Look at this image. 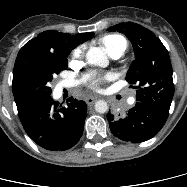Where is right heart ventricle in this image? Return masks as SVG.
Here are the masks:
<instances>
[{
	"instance_id": "obj_1",
	"label": "right heart ventricle",
	"mask_w": 187,
	"mask_h": 187,
	"mask_svg": "<svg viewBox=\"0 0 187 187\" xmlns=\"http://www.w3.org/2000/svg\"><path fill=\"white\" fill-rule=\"evenodd\" d=\"M100 44L105 48L109 55L124 54L127 50V41L118 34H108L100 38Z\"/></svg>"
}]
</instances>
